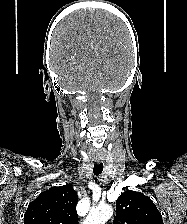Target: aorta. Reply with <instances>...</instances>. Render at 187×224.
<instances>
[{
    "label": "aorta",
    "mask_w": 187,
    "mask_h": 224,
    "mask_svg": "<svg viewBox=\"0 0 187 224\" xmlns=\"http://www.w3.org/2000/svg\"><path fill=\"white\" fill-rule=\"evenodd\" d=\"M112 215L113 209L110 205H101L90 210L83 224H105Z\"/></svg>",
    "instance_id": "762f6f07"
}]
</instances>
